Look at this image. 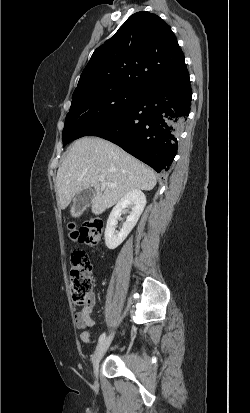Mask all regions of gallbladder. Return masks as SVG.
<instances>
[{
	"label": "gallbladder",
	"instance_id": "1",
	"mask_svg": "<svg viewBox=\"0 0 250 413\" xmlns=\"http://www.w3.org/2000/svg\"><path fill=\"white\" fill-rule=\"evenodd\" d=\"M93 197L94 192L91 188H87L76 194L70 210L71 215L74 217L80 216L83 211L91 204Z\"/></svg>",
	"mask_w": 250,
	"mask_h": 413
}]
</instances>
